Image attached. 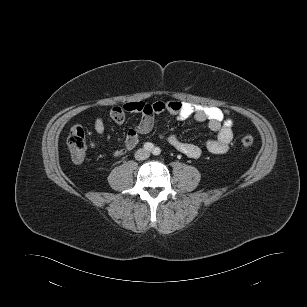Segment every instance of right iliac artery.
Masks as SVG:
<instances>
[{"instance_id": "82829eb1", "label": "right iliac artery", "mask_w": 307, "mask_h": 307, "mask_svg": "<svg viewBox=\"0 0 307 307\" xmlns=\"http://www.w3.org/2000/svg\"><path fill=\"white\" fill-rule=\"evenodd\" d=\"M143 147L147 151H152L153 148H154V145L152 143H150V142H146Z\"/></svg>"}]
</instances>
